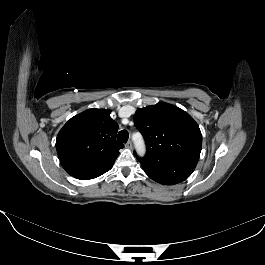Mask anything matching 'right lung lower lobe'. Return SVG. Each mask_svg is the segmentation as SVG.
Instances as JSON below:
<instances>
[{"label":"right lung lower lobe","mask_w":265,"mask_h":265,"mask_svg":"<svg viewBox=\"0 0 265 265\" xmlns=\"http://www.w3.org/2000/svg\"><path fill=\"white\" fill-rule=\"evenodd\" d=\"M81 180H88V179H93V178H80Z\"/></svg>","instance_id":"98d812e1"}]
</instances>
